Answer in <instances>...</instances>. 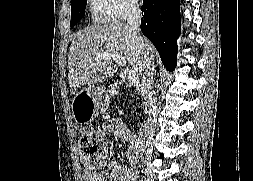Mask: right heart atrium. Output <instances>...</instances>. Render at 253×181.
I'll list each match as a JSON object with an SVG mask.
<instances>
[{
    "instance_id": "obj_1",
    "label": "right heart atrium",
    "mask_w": 253,
    "mask_h": 181,
    "mask_svg": "<svg viewBox=\"0 0 253 181\" xmlns=\"http://www.w3.org/2000/svg\"><path fill=\"white\" fill-rule=\"evenodd\" d=\"M110 16L114 20H122L139 10L137 0H106Z\"/></svg>"
}]
</instances>
